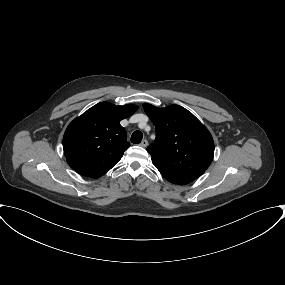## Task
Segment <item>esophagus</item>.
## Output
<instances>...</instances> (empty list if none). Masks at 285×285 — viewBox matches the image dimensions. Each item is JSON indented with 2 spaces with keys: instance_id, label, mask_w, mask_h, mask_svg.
<instances>
[{
  "instance_id": "obj_1",
  "label": "esophagus",
  "mask_w": 285,
  "mask_h": 285,
  "mask_svg": "<svg viewBox=\"0 0 285 285\" xmlns=\"http://www.w3.org/2000/svg\"><path fill=\"white\" fill-rule=\"evenodd\" d=\"M140 146L142 147H147L148 146V141L146 139L142 140V142L140 143Z\"/></svg>"
}]
</instances>
